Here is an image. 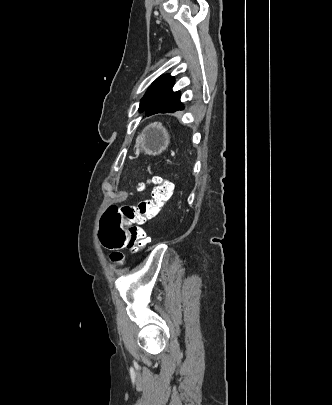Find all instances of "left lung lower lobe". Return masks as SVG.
<instances>
[{
  "mask_svg": "<svg viewBox=\"0 0 332 405\" xmlns=\"http://www.w3.org/2000/svg\"><path fill=\"white\" fill-rule=\"evenodd\" d=\"M167 112H173V111H166V110L157 109L154 105H149L146 108L147 116H151V115L156 114V113H167Z\"/></svg>",
  "mask_w": 332,
  "mask_h": 405,
  "instance_id": "obj_1",
  "label": "left lung lower lobe"
}]
</instances>
